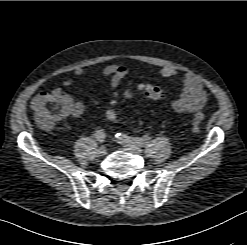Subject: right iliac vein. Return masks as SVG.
<instances>
[{
  "mask_svg": "<svg viewBox=\"0 0 247 245\" xmlns=\"http://www.w3.org/2000/svg\"><path fill=\"white\" fill-rule=\"evenodd\" d=\"M98 154L100 155V156H104V155H106V153H107V149H106V147L105 146H101V147H99V149H98Z\"/></svg>",
  "mask_w": 247,
  "mask_h": 245,
  "instance_id": "obj_1",
  "label": "right iliac vein"
}]
</instances>
